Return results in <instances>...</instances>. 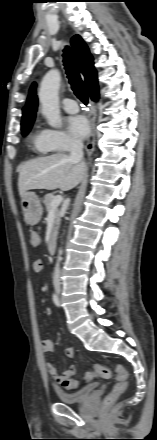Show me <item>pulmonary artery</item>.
<instances>
[{
    "label": "pulmonary artery",
    "mask_w": 157,
    "mask_h": 440,
    "mask_svg": "<svg viewBox=\"0 0 157 440\" xmlns=\"http://www.w3.org/2000/svg\"><path fill=\"white\" fill-rule=\"evenodd\" d=\"M62 107L68 113H76L79 110L78 104L71 99H64L62 101Z\"/></svg>",
    "instance_id": "e3ab8cb5"
}]
</instances>
